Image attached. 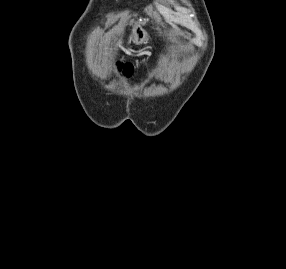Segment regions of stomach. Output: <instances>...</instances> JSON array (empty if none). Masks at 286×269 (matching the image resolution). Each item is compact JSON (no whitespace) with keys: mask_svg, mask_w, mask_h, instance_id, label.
<instances>
[{"mask_svg":"<svg viewBox=\"0 0 286 269\" xmlns=\"http://www.w3.org/2000/svg\"><path fill=\"white\" fill-rule=\"evenodd\" d=\"M131 39L135 44L141 45L147 42L148 34L140 24H136L132 30Z\"/></svg>","mask_w":286,"mask_h":269,"instance_id":"stomach-1","label":"stomach"}]
</instances>
